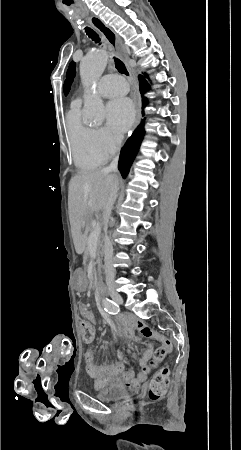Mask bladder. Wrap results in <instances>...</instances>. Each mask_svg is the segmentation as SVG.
<instances>
[{"mask_svg": "<svg viewBox=\"0 0 241 450\" xmlns=\"http://www.w3.org/2000/svg\"><path fill=\"white\" fill-rule=\"evenodd\" d=\"M126 389L120 384H110L107 388L99 390L97 395L102 400H116L125 396Z\"/></svg>", "mask_w": 241, "mask_h": 450, "instance_id": "bladder-1", "label": "bladder"}]
</instances>
